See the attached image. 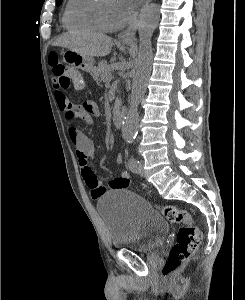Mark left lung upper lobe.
Here are the masks:
<instances>
[{"instance_id":"obj_1","label":"left lung upper lobe","mask_w":245,"mask_h":300,"mask_svg":"<svg viewBox=\"0 0 245 300\" xmlns=\"http://www.w3.org/2000/svg\"><path fill=\"white\" fill-rule=\"evenodd\" d=\"M61 2H62V0H57V1H56V5H60Z\"/></svg>"}]
</instances>
